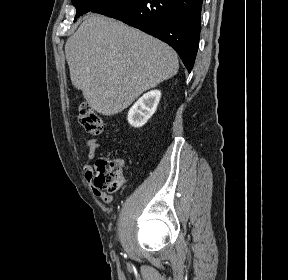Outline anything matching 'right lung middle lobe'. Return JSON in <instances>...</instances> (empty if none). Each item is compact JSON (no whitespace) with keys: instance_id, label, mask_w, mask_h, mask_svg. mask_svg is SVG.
Masks as SVG:
<instances>
[{"instance_id":"1","label":"right lung middle lobe","mask_w":288,"mask_h":280,"mask_svg":"<svg viewBox=\"0 0 288 280\" xmlns=\"http://www.w3.org/2000/svg\"><path fill=\"white\" fill-rule=\"evenodd\" d=\"M109 0H72L73 5L76 7V15L74 21L84 13L94 10L101 4L107 2Z\"/></svg>"}]
</instances>
